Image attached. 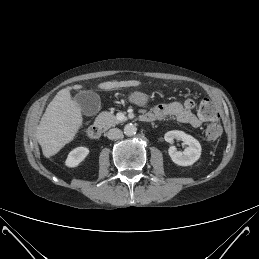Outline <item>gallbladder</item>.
Masks as SVG:
<instances>
[{"label": "gallbladder", "instance_id": "gallbladder-1", "mask_svg": "<svg viewBox=\"0 0 259 259\" xmlns=\"http://www.w3.org/2000/svg\"><path fill=\"white\" fill-rule=\"evenodd\" d=\"M78 104L87 115H93L100 108V97L95 92H86L76 97Z\"/></svg>", "mask_w": 259, "mask_h": 259}]
</instances>
